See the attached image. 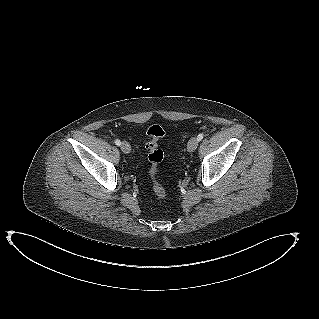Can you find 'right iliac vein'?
Here are the masks:
<instances>
[{
	"mask_svg": "<svg viewBox=\"0 0 319 319\" xmlns=\"http://www.w3.org/2000/svg\"><path fill=\"white\" fill-rule=\"evenodd\" d=\"M121 150L124 152V153H130L131 151V146L129 143H127L126 141H123L121 143Z\"/></svg>",
	"mask_w": 319,
	"mask_h": 319,
	"instance_id": "right-iliac-vein-1",
	"label": "right iliac vein"
}]
</instances>
